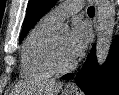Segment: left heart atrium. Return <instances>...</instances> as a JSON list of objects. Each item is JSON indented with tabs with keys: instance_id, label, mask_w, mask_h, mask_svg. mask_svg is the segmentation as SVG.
Returning <instances> with one entry per match:
<instances>
[{
	"instance_id": "left-heart-atrium-1",
	"label": "left heart atrium",
	"mask_w": 119,
	"mask_h": 95,
	"mask_svg": "<svg viewBox=\"0 0 119 95\" xmlns=\"http://www.w3.org/2000/svg\"><path fill=\"white\" fill-rule=\"evenodd\" d=\"M89 39V27L79 20L74 21L66 42V51L71 59L75 60L84 52Z\"/></svg>"
}]
</instances>
